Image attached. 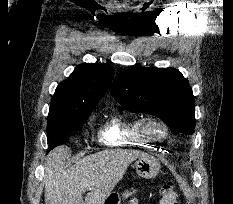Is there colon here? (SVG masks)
Returning <instances> with one entry per match:
<instances>
[{"mask_svg": "<svg viewBox=\"0 0 233 204\" xmlns=\"http://www.w3.org/2000/svg\"><path fill=\"white\" fill-rule=\"evenodd\" d=\"M177 193L171 183L163 184L160 188L159 204H176Z\"/></svg>", "mask_w": 233, "mask_h": 204, "instance_id": "1", "label": "colon"}]
</instances>
